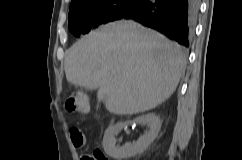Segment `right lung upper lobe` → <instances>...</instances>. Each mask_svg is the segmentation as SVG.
I'll return each instance as SVG.
<instances>
[{"mask_svg":"<svg viewBox=\"0 0 242 160\" xmlns=\"http://www.w3.org/2000/svg\"><path fill=\"white\" fill-rule=\"evenodd\" d=\"M81 1H83V0H72L70 6L75 5V4H77V3L81 2Z\"/></svg>","mask_w":242,"mask_h":160,"instance_id":"1","label":"right lung upper lobe"}]
</instances>
